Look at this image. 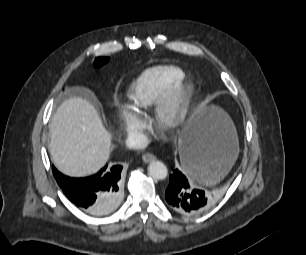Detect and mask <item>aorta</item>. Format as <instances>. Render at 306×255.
<instances>
[{
	"instance_id": "762f6f07",
	"label": "aorta",
	"mask_w": 306,
	"mask_h": 255,
	"mask_svg": "<svg viewBox=\"0 0 306 255\" xmlns=\"http://www.w3.org/2000/svg\"><path fill=\"white\" fill-rule=\"evenodd\" d=\"M148 174L157 180H163L168 175V169L166 165L161 161H153L148 166Z\"/></svg>"
}]
</instances>
